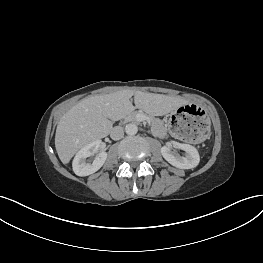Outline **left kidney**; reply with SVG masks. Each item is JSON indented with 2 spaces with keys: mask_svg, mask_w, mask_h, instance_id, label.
Returning a JSON list of instances; mask_svg holds the SVG:
<instances>
[{
  "mask_svg": "<svg viewBox=\"0 0 263 263\" xmlns=\"http://www.w3.org/2000/svg\"><path fill=\"white\" fill-rule=\"evenodd\" d=\"M172 147L185 151V156H180L172 151ZM163 158L171 165L180 169H191L199 164L200 156L197 149L189 144L179 143L176 141L168 142L161 148Z\"/></svg>",
  "mask_w": 263,
  "mask_h": 263,
  "instance_id": "5707ae66",
  "label": "left kidney"
}]
</instances>
